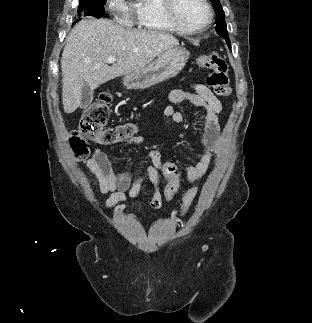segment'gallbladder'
Instances as JSON below:
<instances>
[{
    "label": "gallbladder",
    "instance_id": "obj_1",
    "mask_svg": "<svg viewBox=\"0 0 312 323\" xmlns=\"http://www.w3.org/2000/svg\"><path fill=\"white\" fill-rule=\"evenodd\" d=\"M81 94H82V100H81L80 108H87V106L91 104L94 96L92 90H90V86H87V84H85V86H83L82 88Z\"/></svg>",
    "mask_w": 312,
    "mask_h": 323
}]
</instances>
